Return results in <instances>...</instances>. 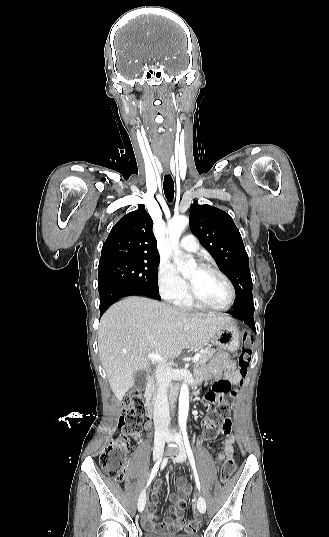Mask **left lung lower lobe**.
Instances as JSON below:
<instances>
[{"label":"left lung lower lobe","mask_w":329,"mask_h":537,"mask_svg":"<svg viewBox=\"0 0 329 537\" xmlns=\"http://www.w3.org/2000/svg\"><path fill=\"white\" fill-rule=\"evenodd\" d=\"M230 313L237 319L243 321L244 323L248 324L255 332V324H254V308H239V309H233L230 311Z\"/></svg>","instance_id":"1"}]
</instances>
